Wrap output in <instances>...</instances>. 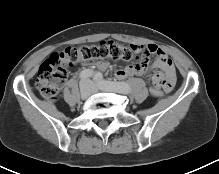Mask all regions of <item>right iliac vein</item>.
I'll list each match as a JSON object with an SVG mask.
<instances>
[{
	"instance_id": "1",
	"label": "right iliac vein",
	"mask_w": 219,
	"mask_h": 174,
	"mask_svg": "<svg viewBox=\"0 0 219 174\" xmlns=\"http://www.w3.org/2000/svg\"><path fill=\"white\" fill-rule=\"evenodd\" d=\"M92 93L91 86L88 83H83L80 86V96L83 100L87 99Z\"/></svg>"
}]
</instances>
